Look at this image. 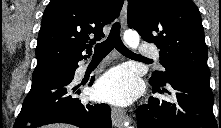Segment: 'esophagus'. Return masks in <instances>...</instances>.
Segmentation results:
<instances>
[{"label": "esophagus", "mask_w": 221, "mask_h": 128, "mask_svg": "<svg viewBox=\"0 0 221 128\" xmlns=\"http://www.w3.org/2000/svg\"><path fill=\"white\" fill-rule=\"evenodd\" d=\"M121 25L123 30L126 29V23H127V1H124L123 8L121 10ZM112 122L113 125L116 127H122L125 124H128L132 121V118L126 115L125 111L122 108L119 107H113L112 108Z\"/></svg>", "instance_id": "34e87169"}]
</instances>
